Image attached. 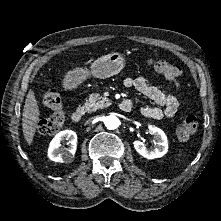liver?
I'll return each instance as SVG.
<instances>
[{
    "label": "liver",
    "mask_w": 221,
    "mask_h": 221,
    "mask_svg": "<svg viewBox=\"0 0 221 221\" xmlns=\"http://www.w3.org/2000/svg\"><path fill=\"white\" fill-rule=\"evenodd\" d=\"M39 115L40 111L35 93L33 90H29L26 96L22 118V129L24 138L29 145L33 141L37 124L40 120Z\"/></svg>",
    "instance_id": "liver-1"
}]
</instances>
